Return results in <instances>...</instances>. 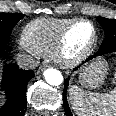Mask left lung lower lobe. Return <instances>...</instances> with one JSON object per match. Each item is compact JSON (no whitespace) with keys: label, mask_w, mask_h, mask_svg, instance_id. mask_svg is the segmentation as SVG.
<instances>
[{"label":"left lung lower lobe","mask_w":116,"mask_h":116,"mask_svg":"<svg viewBox=\"0 0 116 116\" xmlns=\"http://www.w3.org/2000/svg\"><path fill=\"white\" fill-rule=\"evenodd\" d=\"M112 52H116V49H110V50H107V51H99L91 56L89 58V60L97 57V56H102L104 54H108V53H112ZM88 61V60H87ZM74 70H77V68H75ZM69 79L70 77H68V79H65V83H64V91H63V105H64V110H65V114L66 116H73L72 113H71V110L69 108V105H68V102H67V97H66V92H67V88H68V85H69Z\"/></svg>","instance_id":"0a47b994"}]
</instances>
